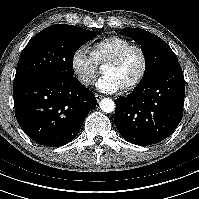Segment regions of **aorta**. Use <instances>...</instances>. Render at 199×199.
<instances>
[{"label": "aorta", "mask_w": 199, "mask_h": 199, "mask_svg": "<svg viewBox=\"0 0 199 199\" xmlns=\"http://www.w3.org/2000/svg\"><path fill=\"white\" fill-rule=\"evenodd\" d=\"M101 110L105 113H111L115 109V103L112 99L104 98L99 104Z\"/></svg>", "instance_id": "aorta-1"}]
</instances>
